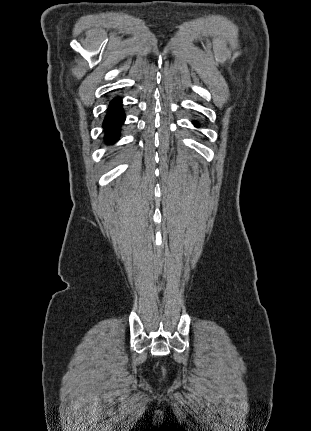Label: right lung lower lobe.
<instances>
[{
    "instance_id": "obj_1",
    "label": "right lung lower lobe",
    "mask_w": 311,
    "mask_h": 431,
    "mask_svg": "<svg viewBox=\"0 0 311 431\" xmlns=\"http://www.w3.org/2000/svg\"><path fill=\"white\" fill-rule=\"evenodd\" d=\"M124 120L125 115L122 110L121 99L117 97L111 101L103 123V127L106 130L105 138L108 143L116 141L119 136L120 126Z\"/></svg>"
}]
</instances>
